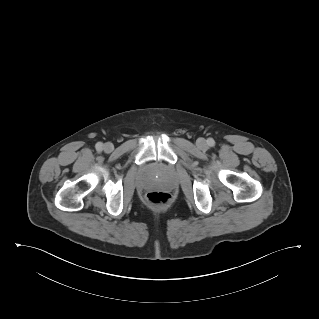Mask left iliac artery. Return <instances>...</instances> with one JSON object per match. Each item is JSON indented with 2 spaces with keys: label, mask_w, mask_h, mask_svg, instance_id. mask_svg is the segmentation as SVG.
<instances>
[{
  "label": "left iliac artery",
  "mask_w": 319,
  "mask_h": 319,
  "mask_svg": "<svg viewBox=\"0 0 319 319\" xmlns=\"http://www.w3.org/2000/svg\"><path fill=\"white\" fill-rule=\"evenodd\" d=\"M207 143H208V145L211 146V147L215 145V141H214V139H212V138H209V139L207 140Z\"/></svg>",
  "instance_id": "obj_1"
}]
</instances>
